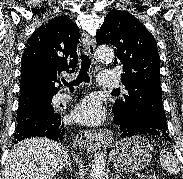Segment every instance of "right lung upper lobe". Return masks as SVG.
Returning a JSON list of instances; mask_svg holds the SVG:
<instances>
[{"label": "right lung upper lobe", "instance_id": "cb5924a9", "mask_svg": "<svg viewBox=\"0 0 183 179\" xmlns=\"http://www.w3.org/2000/svg\"><path fill=\"white\" fill-rule=\"evenodd\" d=\"M78 26L67 16L52 18L28 39L22 57L20 96L56 94L62 71L77 66Z\"/></svg>", "mask_w": 183, "mask_h": 179}]
</instances>
